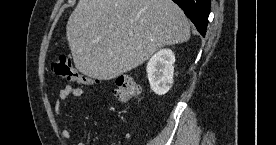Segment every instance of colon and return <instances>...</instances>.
I'll list each match as a JSON object with an SVG mask.
<instances>
[{
    "label": "colon",
    "instance_id": "1",
    "mask_svg": "<svg viewBox=\"0 0 276 145\" xmlns=\"http://www.w3.org/2000/svg\"><path fill=\"white\" fill-rule=\"evenodd\" d=\"M53 74L69 81H77L83 85H91L95 80L74 68L70 60L60 56L51 64ZM116 95L123 102L138 100L141 97V88L131 77L120 75L116 78Z\"/></svg>",
    "mask_w": 276,
    "mask_h": 145
}]
</instances>
